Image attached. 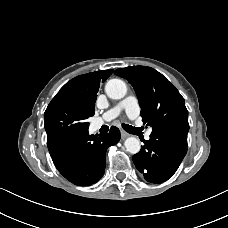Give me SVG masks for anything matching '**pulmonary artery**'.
<instances>
[{
  "label": "pulmonary artery",
  "instance_id": "pulmonary-artery-1",
  "mask_svg": "<svg viewBox=\"0 0 228 228\" xmlns=\"http://www.w3.org/2000/svg\"><path fill=\"white\" fill-rule=\"evenodd\" d=\"M122 110L126 112V114L130 119L137 118L140 113V107H139L137 98L135 96L126 97L124 100H122L117 105H115L107 112H105L100 122H102L103 120L108 121L116 118L121 113ZM150 137H151V130L146 132L144 138L146 140H149Z\"/></svg>",
  "mask_w": 228,
  "mask_h": 228
}]
</instances>
